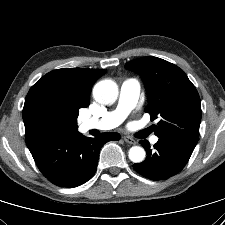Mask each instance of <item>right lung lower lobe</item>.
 Segmentation results:
<instances>
[{
    "label": "right lung lower lobe",
    "instance_id": "98d812e1",
    "mask_svg": "<svg viewBox=\"0 0 225 225\" xmlns=\"http://www.w3.org/2000/svg\"><path fill=\"white\" fill-rule=\"evenodd\" d=\"M116 132L86 138L77 130L45 131L26 141L41 173L60 187H76L96 172L99 152L108 141L119 140Z\"/></svg>",
    "mask_w": 225,
    "mask_h": 225
}]
</instances>
